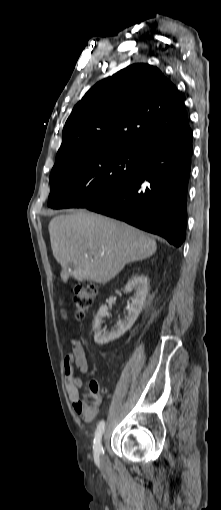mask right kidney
I'll return each instance as SVG.
<instances>
[{"label": "right kidney", "mask_w": 221, "mask_h": 510, "mask_svg": "<svg viewBox=\"0 0 221 510\" xmlns=\"http://www.w3.org/2000/svg\"><path fill=\"white\" fill-rule=\"evenodd\" d=\"M126 291H135L131 306L128 309V315L123 320H119L116 329L106 331L101 329L103 318L108 316L107 306L102 305L96 315L93 325L94 341L98 345L107 344L110 341L118 339L127 330H129L138 318L144 306L148 294V279L144 275H135L125 286Z\"/></svg>", "instance_id": "ca27d5eb"}]
</instances>
